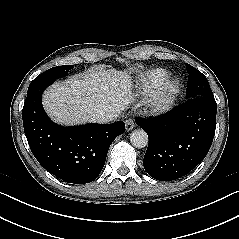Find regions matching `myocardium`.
Masks as SVG:
<instances>
[{
	"label": "myocardium",
	"mask_w": 239,
	"mask_h": 239,
	"mask_svg": "<svg viewBox=\"0 0 239 239\" xmlns=\"http://www.w3.org/2000/svg\"><path fill=\"white\" fill-rule=\"evenodd\" d=\"M182 90L179 78H167L159 84L148 96L146 107L152 114H164L170 111Z\"/></svg>",
	"instance_id": "f54148a6"
}]
</instances>
